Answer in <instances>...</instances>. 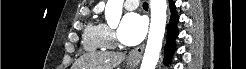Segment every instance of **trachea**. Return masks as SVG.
Returning a JSON list of instances; mask_svg holds the SVG:
<instances>
[{"instance_id":"trachea-1","label":"trachea","mask_w":246,"mask_h":69,"mask_svg":"<svg viewBox=\"0 0 246 69\" xmlns=\"http://www.w3.org/2000/svg\"><path fill=\"white\" fill-rule=\"evenodd\" d=\"M143 7L148 8V3L147 2H144L143 3Z\"/></svg>"}]
</instances>
